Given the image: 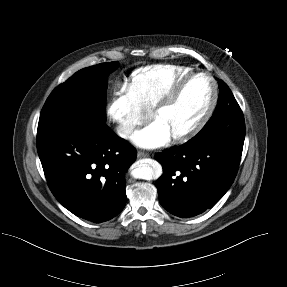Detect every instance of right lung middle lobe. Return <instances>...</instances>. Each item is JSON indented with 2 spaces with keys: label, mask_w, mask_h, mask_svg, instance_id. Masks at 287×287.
Segmentation results:
<instances>
[{
  "label": "right lung middle lobe",
  "mask_w": 287,
  "mask_h": 287,
  "mask_svg": "<svg viewBox=\"0 0 287 287\" xmlns=\"http://www.w3.org/2000/svg\"><path fill=\"white\" fill-rule=\"evenodd\" d=\"M118 66L119 62H110L87 67L60 84L42 108L37 134L105 124L106 76Z\"/></svg>",
  "instance_id": "dd1d6c3e"
}]
</instances>
